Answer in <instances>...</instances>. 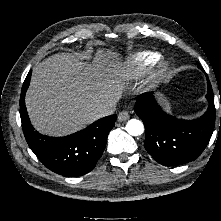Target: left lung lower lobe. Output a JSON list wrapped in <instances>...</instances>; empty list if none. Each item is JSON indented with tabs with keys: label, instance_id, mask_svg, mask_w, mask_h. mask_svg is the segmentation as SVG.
Returning <instances> with one entry per match:
<instances>
[{
	"label": "left lung lower lobe",
	"instance_id": "obj_1",
	"mask_svg": "<svg viewBox=\"0 0 221 221\" xmlns=\"http://www.w3.org/2000/svg\"><path fill=\"white\" fill-rule=\"evenodd\" d=\"M207 84L209 108L201 118L191 121L163 112L151 93L138 97L135 111L145 125L144 147L160 164L175 166L193 161L207 146L215 125L214 95L208 77Z\"/></svg>",
	"mask_w": 221,
	"mask_h": 221
}]
</instances>
